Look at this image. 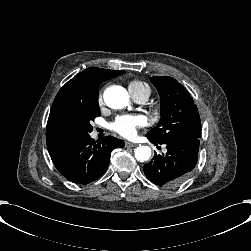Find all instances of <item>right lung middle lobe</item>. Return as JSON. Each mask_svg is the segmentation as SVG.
<instances>
[{
    "label": "right lung middle lobe",
    "mask_w": 251,
    "mask_h": 251,
    "mask_svg": "<svg viewBox=\"0 0 251 251\" xmlns=\"http://www.w3.org/2000/svg\"><path fill=\"white\" fill-rule=\"evenodd\" d=\"M65 120L79 138L86 137L93 130L91 121L100 116L98 102L78 105L65 112Z\"/></svg>",
    "instance_id": "right-lung-middle-lobe-1"
}]
</instances>
